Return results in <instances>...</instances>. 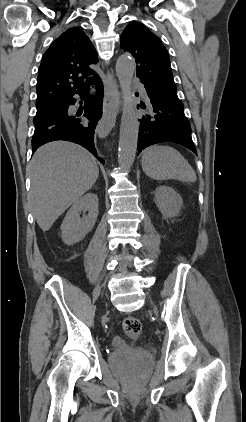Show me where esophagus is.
I'll return each mask as SVG.
<instances>
[{"instance_id":"obj_1","label":"esophagus","mask_w":246,"mask_h":422,"mask_svg":"<svg viewBox=\"0 0 246 422\" xmlns=\"http://www.w3.org/2000/svg\"><path fill=\"white\" fill-rule=\"evenodd\" d=\"M103 114L98 124V132L101 137H106L115 125L117 113L120 107V92L114 75L107 71L106 85L104 89Z\"/></svg>"}]
</instances>
